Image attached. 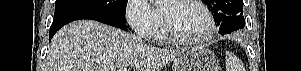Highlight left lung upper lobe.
<instances>
[{"label":"left lung upper lobe","mask_w":301,"mask_h":71,"mask_svg":"<svg viewBox=\"0 0 301 71\" xmlns=\"http://www.w3.org/2000/svg\"><path fill=\"white\" fill-rule=\"evenodd\" d=\"M215 15L217 24L231 15L243 14V0H205Z\"/></svg>","instance_id":"1"}]
</instances>
